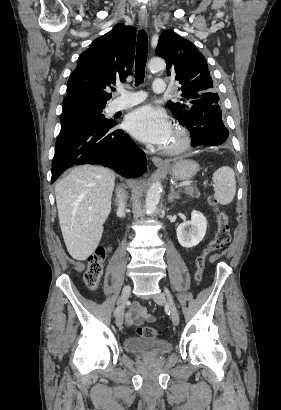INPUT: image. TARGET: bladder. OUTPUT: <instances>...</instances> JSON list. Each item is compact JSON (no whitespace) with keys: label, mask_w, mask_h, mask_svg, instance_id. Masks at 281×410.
<instances>
[{"label":"bladder","mask_w":281,"mask_h":410,"mask_svg":"<svg viewBox=\"0 0 281 410\" xmlns=\"http://www.w3.org/2000/svg\"><path fill=\"white\" fill-rule=\"evenodd\" d=\"M124 349L129 354L141 358L154 359L170 353L172 344L166 340L127 337L124 340Z\"/></svg>","instance_id":"31cf9c89"}]
</instances>
